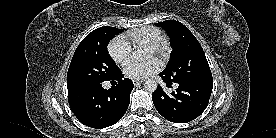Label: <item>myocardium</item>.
Returning <instances> with one entry per match:
<instances>
[{
    "label": "myocardium",
    "mask_w": 276,
    "mask_h": 138,
    "mask_svg": "<svg viewBox=\"0 0 276 138\" xmlns=\"http://www.w3.org/2000/svg\"><path fill=\"white\" fill-rule=\"evenodd\" d=\"M150 47L153 53L161 58L167 57L170 51V46L165 39L150 44Z\"/></svg>",
    "instance_id": "obj_1"
}]
</instances>
